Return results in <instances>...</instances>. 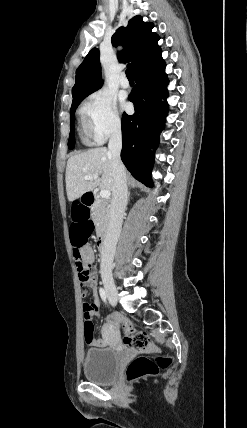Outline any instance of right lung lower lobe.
<instances>
[{"label":"right lung lower lobe","instance_id":"1","mask_svg":"<svg viewBox=\"0 0 247 428\" xmlns=\"http://www.w3.org/2000/svg\"><path fill=\"white\" fill-rule=\"evenodd\" d=\"M165 65L160 57L134 74L136 85L129 100L135 104V113L122 116L121 159L131 174L149 187L153 186L154 162L150 148L158 146L159 131L163 129L168 111L166 102L162 101L168 94Z\"/></svg>","mask_w":247,"mask_h":428}]
</instances>
